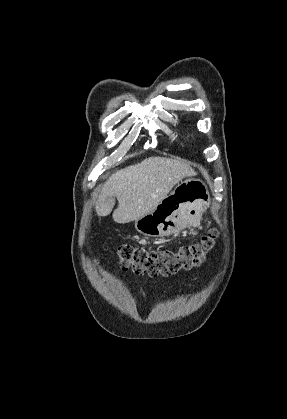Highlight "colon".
I'll use <instances>...</instances> for the list:
<instances>
[{"instance_id":"obj_1","label":"colon","mask_w":287,"mask_h":419,"mask_svg":"<svg viewBox=\"0 0 287 419\" xmlns=\"http://www.w3.org/2000/svg\"><path fill=\"white\" fill-rule=\"evenodd\" d=\"M216 230H210L200 241L177 250H148L122 245L118 249L122 267L138 275L171 276L198 267L205 253L214 246Z\"/></svg>"}]
</instances>
